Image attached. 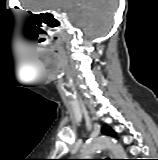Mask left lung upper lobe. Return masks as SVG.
I'll return each instance as SVG.
<instances>
[{
	"instance_id": "1",
	"label": "left lung upper lobe",
	"mask_w": 158,
	"mask_h": 160,
	"mask_svg": "<svg viewBox=\"0 0 158 160\" xmlns=\"http://www.w3.org/2000/svg\"><path fill=\"white\" fill-rule=\"evenodd\" d=\"M102 133L110 136H116V133L107 125L102 128Z\"/></svg>"
}]
</instances>
